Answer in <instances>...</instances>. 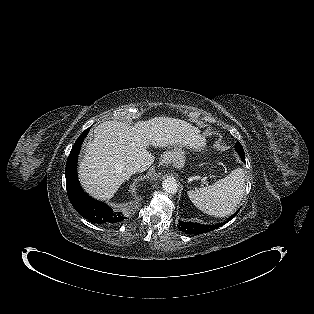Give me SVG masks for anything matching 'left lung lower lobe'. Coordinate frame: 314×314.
Segmentation results:
<instances>
[{
	"mask_svg": "<svg viewBox=\"0 0 314 314\" xmlns=\"http://www.w3.org/2000/svg\"><path fill=\"white\" fill-rule=\"evenodd\" d=\"M242 161L245 162V154H239ZM239 212V210L233 214L228 220H231L232 218H234L237 213ZM224 224V223H223ZM178 229L182 232H185L187 234H202L208 231H212L217 229L220 225H200L197 223H189V222H183V221H179V224L177 225Z\"/></svg>",
	"mask_w": 314,
	"mask_h": 314,
	"instance_id": "0a47b994",
	"label": "left lung lower lobe"
}]
</instances>
